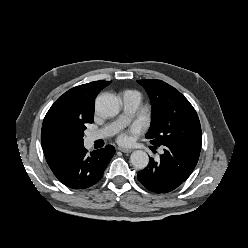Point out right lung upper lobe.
I'll return each mask as SVG.
<instances>
[{"mask_svg":"<svg viewBox=\"0 0 248 248\" xmlns=\"http://www.w3.org/2000/svg\"><path fill=\"white\" fill-rule=\"evenodd\" d=\"M110 83L100 80L76 86L51 106L41 130L42 148L51 169L83 146L77 137V128L93 122L94 100Z\"/></svg>","mask_w":248,"mask_h":248,"instance_id":"obj_1","label":"right lung upper lobe"}]
</instances>
